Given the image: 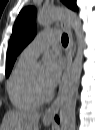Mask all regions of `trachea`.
I'll use <instances>...</instances> for the list:
<instances>
[{"mask_svg":"<svg viewBox=\"0 0 95 130\" xmlns=\"http://www.w3.org/2000/svg\"><path fill=\"white\" fill-rule=\"evenodd\" d=\"M68 41H69L68 35L64 33V34L62 35V44H63L64 46H66V45H68Z\"/></svg>","mask_w":95,"mask_h":130,"instance_id":"obj_1","label":"trachea"}]
</instances>
